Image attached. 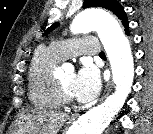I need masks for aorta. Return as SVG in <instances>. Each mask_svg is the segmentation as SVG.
Listing matches in <instances>:
<instances>
[{
	"mask_svg": "<svg viewBox=\"0 0 153 134\" xmlns=\"http://www.w3.org/2000/svg\"><path fill=\"white\" fill-rule=\"evenodd\" d=\"M74 34L96 31L111 64L115 92L82 115L71 127V134H103L131 91L134 62L131 47L118 22L98 9L80 12L72 22Z\"/></svg>",
	"mask_w": 153,
	"mask_h": 134,
	"instance_id": "1",
	"label": "aorta"
}]
</instances>
